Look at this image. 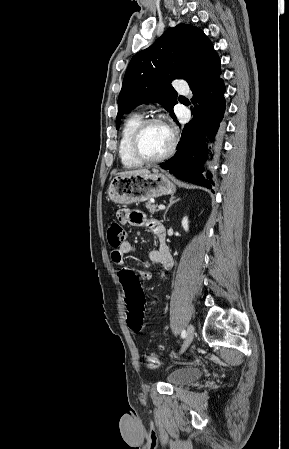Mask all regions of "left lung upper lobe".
Masks as SVG:
<instances>
[{"mask_svg": "<svg viewBox=\"0 0 289 449\" xmlns=\"http://www.w3.org/2000/svg\"><path fill=\"white\" fill-rule=\"evenodd\" d=\"M213 45L202 30L188 24L169 28L150 47L135 54L126 70L118 98L116 128L121 118L136 106L156 101L176 118L178 103L171 86L174 79L190 83Z\"/></svg>", "mask_w": 289, "mask_h": 449, "instance_id": "5c2ea615", "label": "left lung upper lobe"}]
</instances>
